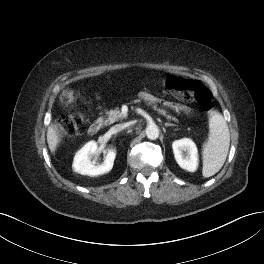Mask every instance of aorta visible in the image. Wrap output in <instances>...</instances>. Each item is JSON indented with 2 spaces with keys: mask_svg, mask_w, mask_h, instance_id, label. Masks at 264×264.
Here are the masks:
<instances>
[{
  "mask_svg": "<svg viewBox=\"0 0 264 264\" xmlns=\"http://www.w3.org/2000/svg\"><path fill=\"white\" fill-rule=\"evenodd\" d=\"M146 136L150 140H156L159 137V129L156 124H150L147 126Z\"/></svg>",
  "mask_w": 264,
  "mask_h": 264,
  "instance_id": "obj_1",
  "label": "aorta"
}]
</instances>
